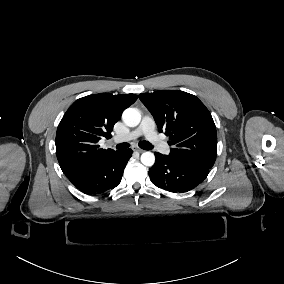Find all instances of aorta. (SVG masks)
<instances>
[{
    "instance_id": "obj_1",
    "label": "aorta",
    "mask_w": 284,
    "mask_h": 284,
    "mask_svg": "<svg viewBox=\"0 0 284 284\" xmlns=\"http://www.w3.org/2000/svg\"><path fill=\"white\" fill-rule=\"evenodd\" d=\"M123 122L129 127L137 126L141 121V114L136 108H127L122 114ZM143 165L151 167L155 163V156L152 152H144L141 155Z\"/></svg>"
}]
</instances>
